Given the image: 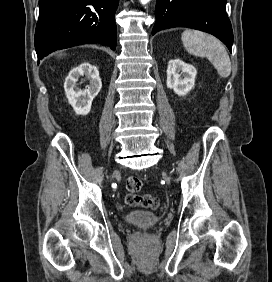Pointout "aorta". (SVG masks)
<instances>
[{
    "instance_id": "762f6f07",
    "label": "aorta",
    "mask_w": 272,
    "mask_h": 282,
    "mask_svg": "<svg viewBox=\"0 0 272 282\" xmlns=\"http://www.w3.org/2000/svg\"><path fill=\"white\" fill-rule=\"evenodd\" d=\"M140 2H141L143 5H145V4L149 3L150 0H140Z\"/></svg>"
}]
</instances>
